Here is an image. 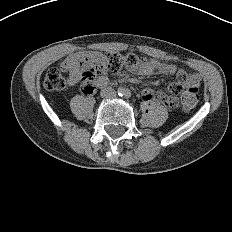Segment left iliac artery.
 <instances>
[{
	"instance_id": "1",
	"label": "left iliac artery",
	"mask_w": 232,
	"mask_h": 232,
	"mask_svg": "<svg viewBox=\"0 0 232 232\" xmlns=\"http://www.w3.org/2000/svg\"><path fill=\"white\" fill-rule=\"evenodd\" d=\"M125 96L128 98V97L131 96V93H130L129 91H126V92H125Z\"/></svg>"
}]
</instances>
